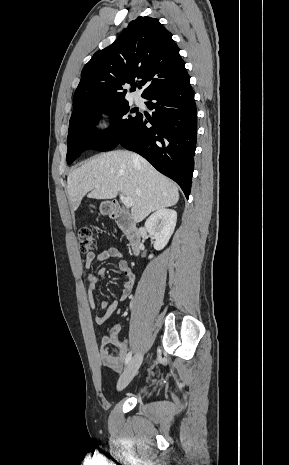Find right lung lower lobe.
<instances>
[{"label": "right lung lower lobe", "instance_id": "obj_1", "mask_svg": "<svg viewBox=\"0 0 289 465\" xmlns=\"http://www.w3.org/2000/svg\"><path fill=\"white\" fill-rule=\"evenodd\" d=\"M145 99L150 100L146 102L147 107L155 109L152 118L141 114L119 144L139 153L159 172L173 179L188 199L197 134L196 105L190 81L162 89ZM148 122L151 127L146 126Z\"/></svg>", "mask_w": 289, "mask_h": 465}]
</instances>
